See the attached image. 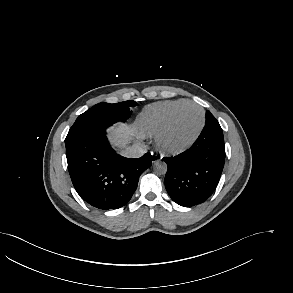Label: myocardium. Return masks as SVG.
Here are the masks:
<instances>
[{"mask_svg": "<svg viewBox=\"0 0 293 293\" xmlns=\"http://www.w3.org/2000/svg\"><path fill=\"white\" fill-rule=\"evenodd\" d=\"M188 106H192V107H196L200 110L201 112V124L197 130V132L195 133V135L191 138V140L189 142H187L186 144H184L181 147H177V148H172V147H168L167 145H165L164 143V137L167 134L168 130L170 129L174 119L176 118L177 114L185 107ZM206 124V113L205 110L202 106H200L199 104L195 103V102H185L177 107H175L171 113L169 114L168 118L166 119L165 123L163 124V126L159 129V131L155 134V145L156 148L159 152H161L162 154H166V155H179L182 154L184 152H186L187 150H189L195 143L196 141L199 139L200 135L203 132V129L205 127Z\"/></svg>", "mask_w": 293, "mask_h": 293, "instance_id": "myocardium-1", "label": "myocardium"}]
</instances>
